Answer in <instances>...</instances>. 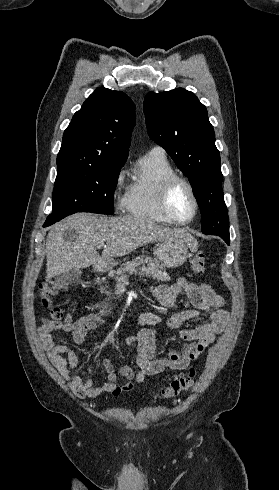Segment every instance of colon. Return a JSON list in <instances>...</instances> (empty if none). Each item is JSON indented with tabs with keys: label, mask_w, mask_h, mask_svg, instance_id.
I'll return each mask as SVG.
<instances>
[{
	"label": "colon",
	"mask_w": 279,
	"mask_h": 490,
	"mask_svg": "<svg viewBox=\"0 0 279 490\" xmlns=\"http://www.w3.org/2000/svg\"><path fill=\"white\" fill-rule=\"evenodd\" d=\"M192 271L197 275H203L207 269V257L203 251H197L190 258ZM60 282H50L41 290V297L49 307L53 297L60 291ZM50 316L55 320H62L65 316L64 310L59 307L50 308ZM195 383V371L190 370L187 375L180 376L172 380L170 385L161 392L162 399H173L183 393L188 392Z\"/></svg>",
	"instance_id": "1"
}]
</instances>
